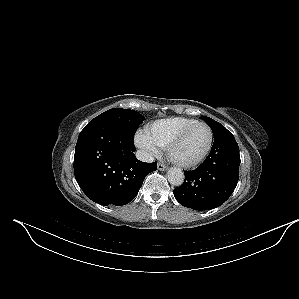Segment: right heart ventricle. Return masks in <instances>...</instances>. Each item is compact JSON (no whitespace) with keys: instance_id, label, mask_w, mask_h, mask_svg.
<instances>
[{"instance_id":"1","label":"right heart ventricle","mask_w":299,"mask_h":299,"mask_svg":"<svg viewBox=\"0 0 299 299\" xmlns=\"http://www.w3.org/2000/svg\"><path fill=\"white\" fill-rule=\"evenodd\" d=\"M197 122L186 117H169L151 122L146 133L161 147L168 146L170 141L185 127Z\"/></svg>"}]
</instances>
